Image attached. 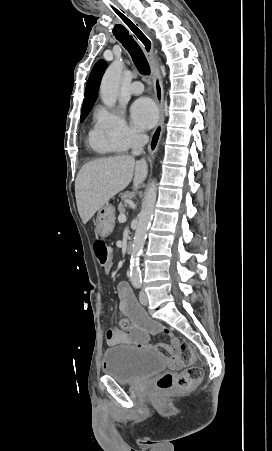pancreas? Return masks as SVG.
Segmentation results:
<instances>
[{"mask_svg": "<svg viewBox=\"0 0 272 451\" xmlns=\"http://www.w3.org/2000/svg\"><path fill=\"white\" fill-rule=\"evenodd\" d=\"M121 200H130V194H122ZM118 212H120V214H124V212H126L123 202H121V204H119Z\"/></svg>", "mask_w": 272, "mask_h": 451, "instance_id": "1", "label": "pancreas"}]
</instances>
